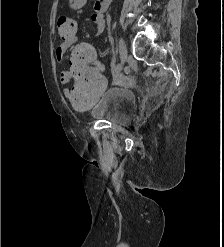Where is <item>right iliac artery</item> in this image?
<instances>
[{
  "label": "right iliac artery",
  "mask_w": 224,
  "mask_h": 247,
  "mask_svg": "<svg viewBox=\"0 0 224 247\" xmlns=\"http://www.w3.org/2000/svg\"><path fill=\"white\" fill-rule=\"evenodd\" d=\"M121 68H122L121 64H118V65L114 68L113 74H114V75H118V74L120 73V71H121Z\"/></svg>",
  "instance_id": "82829eb1"
}]
</instances>
